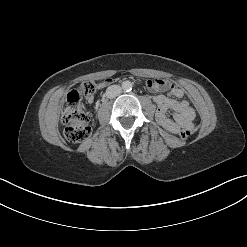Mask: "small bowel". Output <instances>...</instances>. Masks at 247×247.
<instances>
[{"label":"small bowel","instance_id":"small-bowel-1","mask_svg":"<svg viewBox=\"0 0 247 247\" xmlns=\"http://www.w3.org/2000/svg\"><path fill=\"white\" fill-rule=\"evenodd\" d=\"M112 82L111 78H107L100 83L99 87L109 86ZM146 87L148 90L158 93L153 98L157 105L156 119L164 129L175 134L181 128L193 130L195 111L187 100L182 99L184 96L182 88L165 79L149 80L146 82ZM165 91L176 99H171L169 96L161 93ZM87 101L88 103H93L94 97L89 96ZM169 110L175 112L172 119L167 117Z\"/></svg>","mask_w":247,"mask_h":247}]
</instances>
